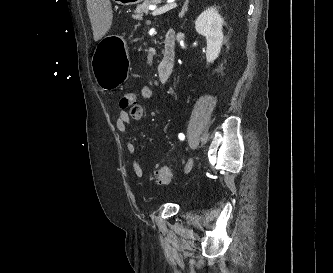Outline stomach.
Masks as SVG:
<instances>
[{"label":"stomach","mask_w":333,"mask_h":273,"mask_svg":"<svg viewBox=\"0 0 333 273\" xmlns=\"http://www.w3.org/2000/svg\"><path fill=\"white\" fill-rule=\"evenodd\" d=\"M116 2L121 5H133L142 0H116ZM92 68L95 81L101 89L109 90L120 86L129 70V58L123 38L111 35L101 40L93 56Z\"/></svg>","instance_id":"stomach-1"}]
</instances>
